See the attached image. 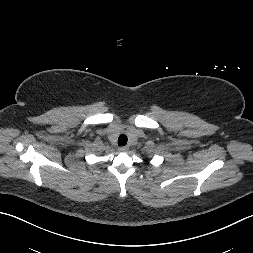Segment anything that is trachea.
I'll return each instance as SVG.
<instances>
[{
  "label": "trachea",
  "mask_w": 253,
  "mask_h": 253,
  "mask_svg": "<svg viewBox=\"0 0 253 253\" xmlns=\"http://www.w3.org/2000/svg\"><path fill=\"white\" fill-rule=\"evenodd\" d=\"M127 144V136L126 135H120L118 137V145L119 146H125Z\"/></svg>",
  "instance_id": "trachea-1"
}]
</instances>
